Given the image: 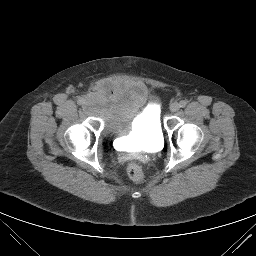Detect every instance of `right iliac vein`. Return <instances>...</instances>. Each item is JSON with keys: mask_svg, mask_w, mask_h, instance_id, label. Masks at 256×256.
<instances>
[{"mask_svg": "<svg viewBox=\"0 0 256 256\" xmlns=\"http://www.w3.org/2000/svg\"><path fill=\"white\" fill-rule=\"evenodd\" d=\"M84 106H85L86 108H89V107L91 106V103H90L89 101H86V102L84 103Z\"/></svg>", "mask_w": 256, "mask_h": 256, "instance_id": "obj_1", "label": "right iliac vein"}]
</instances>
